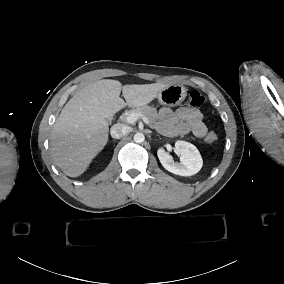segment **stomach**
I'll return each instance as SVG.
<instances>
[{
	"mask_svg": "<svg viewBox=\"0 0 284 284\" xmlns=\"http://www.w3.org/2000/svg\"><path fill=\"white\" fill-rule=\"evenodd\" d=\"M187 96V89L183 85H168L161 90L157 99L161 105L175 107L180 105Z\"/></svg>",
	"mask_w": 284,
	"mask_h": 284,
	"instance_id": "0dacf381",
	"label": "stomach"
}]
</instances>
